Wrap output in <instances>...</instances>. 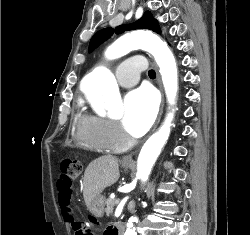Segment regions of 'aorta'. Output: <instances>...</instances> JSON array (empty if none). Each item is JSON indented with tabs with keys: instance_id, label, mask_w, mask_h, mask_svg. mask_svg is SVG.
<instances>
[{
	"instance_id": "obj_1",
	"label": "aorta",
	"mask_w": 250,
	"mask_h": 235,
	"mask_svg": "<svg viewBox=\"0 0 250 235\" xmlns=\"http://www.w3.org/2000/svg\"><path fill=\"white\" fill-rule=\"evenodd\" d=\"M134 49H143L154 56L160 68L168 102L171 105L174 104L178 89L176 62L167 44L158 36L148 31H134L112 43L106 49L105 56L107 59L113 60ZM84 92L93 105L107 103L111 113L118 111L120 106L118 85L114 74L107 68L100 67L87 76ZM172 120L173 112L167 115L163 125L146 141L140 151L137 161V176L143 182L148 180L152 167L169 138ZM137 221V217L130 218L124 235H137L133 226V222Z\"/></svg>"
}]
</instances>
